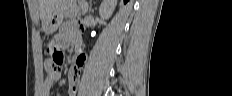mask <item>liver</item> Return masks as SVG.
I'll return each instance as SVG.
<instances>
[{
  "label": "liver",
  "instance_id": "1",
  "mask_svg": "<svg viewBox=\"0 0 232 96\" xmlns=\"http://www.w3.org/2000/svg\"><path fill=\"white\" fill-rule=\"evenodd\" d=\"M57 0H39L40 6V18L42 20V25L47 15L51 12Z\"/></svg>",
  "mask_w": 232,
  "mask_h": 96
}]
</instances>
